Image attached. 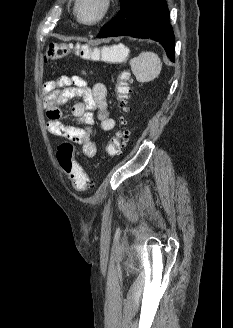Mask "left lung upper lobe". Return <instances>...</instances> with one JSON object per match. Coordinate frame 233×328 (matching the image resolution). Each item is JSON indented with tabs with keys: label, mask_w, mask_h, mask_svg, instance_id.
Returning a JSON list of instances; mask_svg holds the SVG:
<instances>
[{
	"label": "left lung upper lobe",
	"mask_w": 233,
	"mask_h": 328,
	"mask_svg": "<svg viewBox=\"0 0 233 328\" xmlns=\"http://www.w3.org/2000/svg\"><path fill=\"white\" fill-rule=\"evenodd\" d=\"M125 0H121V3L123 4Z\"/></svg>",
	"instance_id": "left-lung-upper-lobe-1"
}]
</instances>
